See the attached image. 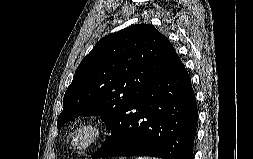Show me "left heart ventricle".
<instances>
[{
	"mask_svg": "<svg viewBox=\"0 0 253 159\" xmlns=\"http://www.w3.org/2000/svg\"><path fill=\"white\" fill-rule=\"evenodd\" d=\"M89 135V131H83L80 136V141H84Z\"/></svg>",
	"mask_w": 253,
	"mask_h": 159,
	"instance_id": "1",
	"label": "left heart ventricle"
}]
</instances>
